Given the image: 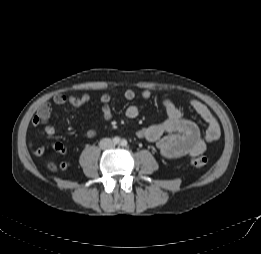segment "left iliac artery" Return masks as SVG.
Instances as JSON below:
<instances>
[{"mask_svg": "<svg viewBox=\"0 0 261 254\" xmlns=\"http://www.w3.org/2000/svg\"><path fill=\"white\" fill-rule=\"evenodd\" d=\"M121 146H123V147L127 146V141L123 139V140L121 141Z\"/></svg>", "mask_w": 261, "mask_h": 254, "instance_id": "obj_1", "label": "left iliac artery"}]
</instances>
